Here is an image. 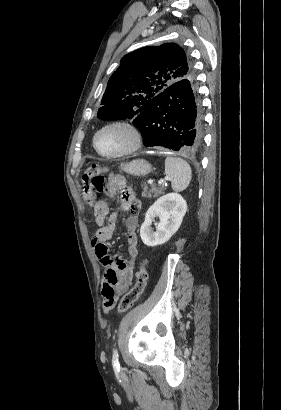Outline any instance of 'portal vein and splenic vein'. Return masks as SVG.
I'll return each instance as SVG.
<instances>
[{"label":"portal vein and splenic vein","instance_id":"18ae733b","mask_svg":"<svg viewBox=\"0 0 281 410\" xmlns=\"http://www.w3.org/2000/svg\"><path fill=\"white\" fill-rule=\"evenodd\" d=\"M148 183H149V184H153V180H151V179L148 180Z\"/></svg>","mask_w":281,"mask_h":410}]
</instances>
